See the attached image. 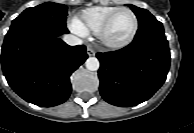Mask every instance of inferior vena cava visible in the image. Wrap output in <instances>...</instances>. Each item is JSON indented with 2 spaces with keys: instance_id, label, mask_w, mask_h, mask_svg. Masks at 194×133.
I'll list each match as a JSON object with an SVG mask.
<instances>
[{
  "instance_id": "obj_1",
  "label": "inferior vena cava",
  "mask_w": 194,
  "mask_h": 133,
  "mask_svg": "<svg viewBox=\"0 0 194 133\" xmlns=\"http://www.w3.org/2000/svg\"><path fill=\"white\" fill-rule=\"evenodd\" d=\"M63 40L66 44L70 46H76V45H81L83 41L78 38L77 36H74L72 34H67L63 37Z\"/></svg>"
}]
</instances>
